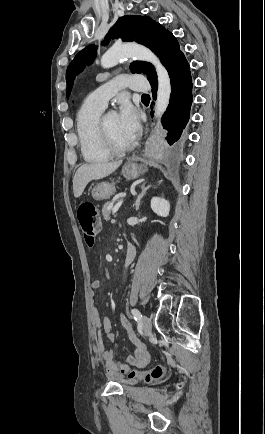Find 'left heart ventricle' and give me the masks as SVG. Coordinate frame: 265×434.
Masks as SVG:
<instances>
[{
  "instance_id": "obj_1",
  "label": "left heart ventricle",
  "mask_w": 265,
  "mask_h": 434,
  "mask_svg": "<svg viewBox=\"0 0 265 434\" xmlns=\"http://www.w3.org/2000/svg\"><path fill=\"white\" fill-rule=\"evenodd\" d=\"M106 122L109 127L112 140L114 144L120 146V147H127L132 144V142L128 141L122 134L119 122H118V115L116 114H109L106 116Z\"/></svg>"
}]
</instances>
